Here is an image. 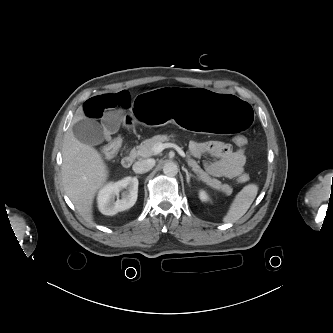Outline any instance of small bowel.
<instances>
[{"label":"small bowel","instance_id":"c3829d8e","mask_svg":"<svg viewBox=\"0 0 333 333\" xmlns=\"http://www.w3.org/2000/svg\"><path fill=\"white\" fill-rule=\"evenodd\" d=\"M130 106V94L126 91H119L88 99L82 106V112L86 117L101 119L106 126L112 127L118 120L119 112L129 109ZM189 151L196 158L204 155L215 158L204 164L206 171L215 177H237L243 172L246 163L243 148L233 150L228 144L220 141H191Z\"/></svg>","mask_w":333,"mask_h":333}]
</instances>
